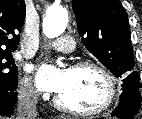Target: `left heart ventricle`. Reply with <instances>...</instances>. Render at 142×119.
Listing matches in <instances>:
<instances>
[{
    "mask_svg": "<svg viewBox=\"0 0 142 119\" xmlns=\"http://www.w3.org/2000/svg\"><path fill=\"white\" fill-rule=\"evenodd\" d=\"M106 85L102 76L93 69L67 70V82L59 97L75 109L90 110L99 106L105 97Z\"/></svg>",
    "mask_w": 142,
    "mask_h": 119,
    "instance_id": "1",
    "label": "left heart ventricle"
}]
</instances>
